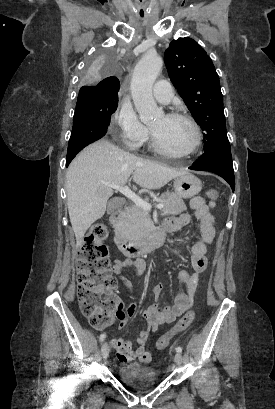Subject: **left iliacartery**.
Here are the masks:
<instances>
[{
    "mask_svg": "<svg viewBox=\"0 0 275 409\" xmlns=\"http://www.w3.org/2000/svg\"><path fill=\"white\" fill-rule=\"evenodd\" d=\"M176 352H182V348H181V347H177V348H176Z\"/></svg>",
    "mask_w": 275,
    "mask_h": 409,
    "instance_id": "44dca946",
    "label": "left iliac artery"
}]
</instances>
